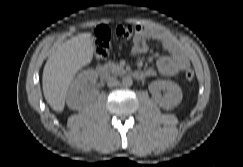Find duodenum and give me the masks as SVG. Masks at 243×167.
<instances>
[{
	"label": "duodenum",
	"instance_id": "1",
	"mask_svg": "<svg viewBox=\"0 0 243 167\" xmlns=\"http://www.w3.org/2000/svg\"><path fill=\"white\" fill-rule=\"evenodd\" d=\"M124 71L122 70V73ZM96 73L98 74V76L103 77V76H109L110 75V70L105 67L104 65H98L96 68ZM129 75L137 78V79H141L143 78L144 74L142 72L139 71H131L129 72Z\"/></svg>",
	"mask_w": 243,
	"mask_h": 167
}]
</instances>
